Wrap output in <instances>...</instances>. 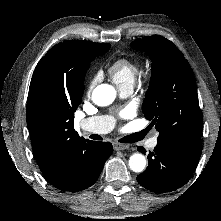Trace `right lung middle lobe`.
<instances>
[{
	"mask_svg": "<svg viewBox=\"0 0 221 221\" xmlns=\"http://www.w3.org/2000/svg\"><path fill=\"white\" fill-rule=\"evenodd\" d=\"M109 49L110 44L95 43L92 45L91 49L84 51L82 55L78 57V62L84 70L83 80L90 62L93 61L97 56L106 53Z\"/></svg>",
	"mask_w": 221,
	"mask_h": 221,
	"instance_id": "1",
	"label": "right lung middle lobe"
}]
</instances>
